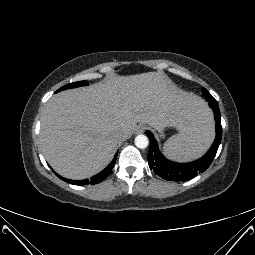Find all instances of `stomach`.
Wrapping results in <instances>:
<instances>
[{
  "label": "stomach",
  "instance_id": "0dacf381",
  "mask_svg": "<svg viewBox=\"0 0 255 255\" xmlns=\"http://www.w3.org/2000/svg\"><path fill=\"white\" fill-rule=\"evenodd\" d=\"M158 132H159L160 137L164 136V131L163 130H159Z\"/></svg>",
  "mask_w": 255,
  "mask_h": 255
}]
</instances>
